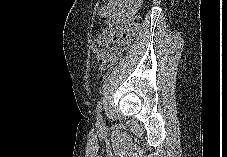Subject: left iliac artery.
Wrapping results in <instances>:
<instances>
[{
    "mask_svg": "<svg viewBox=\"0 0 227 157\" xmlns=\"http://www.w3.org/2000/svg\"><path fill=\"white\" fill-rule=\"evenodd\" d=\"M101 110H102V108H101V100H100L96 107V112H97L98 118H101Z\"/></svg>",
    "mask_w": 227,
    "mask_h": 157,
    "instance_id": "left-iliac-artery-1",
    "label": "left iliac artery"
}]
</instances>
